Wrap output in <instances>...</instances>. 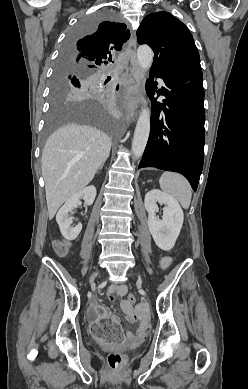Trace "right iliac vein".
I'll return each instance as SVG.
<instances>
[{"mask_svg":"<svg viewBox=\"0 0 248 389\" xmlns=\"http://www.w3.org/2000/svg\"><path fill=\"white\" fill-rule=\"evenodd\" d=\"M96 274H93L90 278V281L92 282Z\"/></svg>","mask_w":248,"mask_h":389,"instance_id":"right-iliac-vein-1","label":"right iliac vein"}]
</instances>
